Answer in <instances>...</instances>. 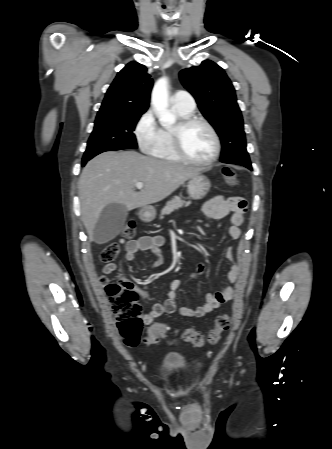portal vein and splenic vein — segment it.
Returning a JSON list of instances; mask_svg holds the SVG:
<instances>
[{"instance_id":"1","label":"portal vein and splenic vein","mask_w":332,"mask_h":449,"mask_svg":"<svg viewBox=\"0 0 332 449\" xmlns=\"http://www.w3.org/2000/svg\"><path fill=\"white\" fill-rule=\"evenodd\" d=\"M143 187H144V184H143L142 182H137V183H136V188H137V189L140 190V189H142Z\"/></svg>"}]
</instances>
